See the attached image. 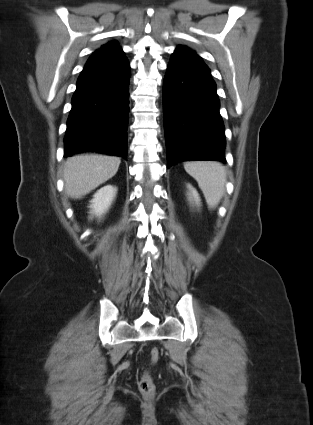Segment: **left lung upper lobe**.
<instances>
[{
	"instance_id": "1",
	"label": "left lung upper lobe",
	"mask_w": 313,
	"mask_h": 425,
	"mask_svg": "<svg viewBox=\"0 0 313 425\" xmlns=\"http://www.w3.org/2000/svg\"><path fill=\"white\" fill-rule=\"evenodd\" d=\"M174 53L183 54L190 57L193 60L203 62L202 58L198 56L194 51L190 50L188 47L179 45Z\"/></svg>"
}]
</instances>
